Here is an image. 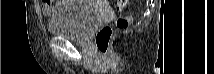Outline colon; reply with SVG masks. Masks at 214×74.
<instances>
[{
	"instance_id": "5ec220e1",
	"label": "colon",
	"mask_w": 214,
	"mask_h": 74,
	"mask_svg": "<svg viewBox=\"0 0 214 74\" xmlns=\"http://www.w3.org/2000/svg\"><path fill=\"white\" fill-rule=\"evenodd\" d=\"M127 2H128L127 0L116 1L115 2L116 10H122L126 6ZM130 23H131L130 16H121L116 19L115 27L118 30H125L129 27ZM112 36H113V28L109 25L100 27L96 32L94 37V43L102 54L107 53Z\"/></svg>"
}]
</instances>
